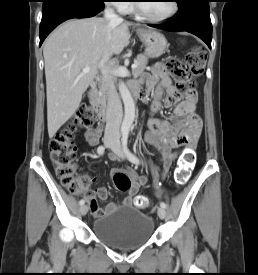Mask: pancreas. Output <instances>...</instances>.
I'll use <instances>...</instances> for the list:
<instances>
[{"label": "pancreas", "instance_id": "cf45deb5", "mask_svg": "<svg viewBox=\"0 0 258 275\" xmlns=\"http://www.w3.org/2000/svg\"><path fill=\"white\" fill-rule=\"evenodd\" d=\"M136 62H137V67L132 69V74L133 76L138 77L144 72L148 62V57L145 54H140L137 56ZM115 81H116V77H113V82ZM99 93L102 99L107 98V89L104 86V84L100 86Z\"/></svg>", "mask_w": 258, "mask_h": 275}]
</instances>
